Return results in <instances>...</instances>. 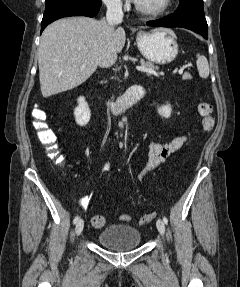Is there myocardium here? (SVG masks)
Instances as JSON below:
<instances>
[{
  "instance_id": "1",
  "label": "myocardium",
  "mask_w": 240,
  "mask_h": 287,
  "mask_svg": "<svg viewBox=\"0 0 240 287\" xmlns=\"http://www.w3.org/2000/svg\"><path fill=\"white\" fill-rule=\"evenodd\" d=\"M171 0H162L161 4L156 8H146L140 5L138 2L135 3V9L146 16H160L163 15L170 7Z\"/></svg>"
}]
</instances>
